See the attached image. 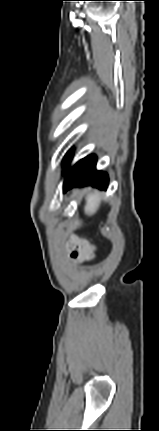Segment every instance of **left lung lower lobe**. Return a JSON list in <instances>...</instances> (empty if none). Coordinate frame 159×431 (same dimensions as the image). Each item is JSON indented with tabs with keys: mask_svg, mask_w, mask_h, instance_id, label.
Masks as SVG:
<instances>
[{
	"mask_svg": "<svg viewBox=\"0 0 159 431\" xmlns=\"http://www.w3.org/2000/svg\"><path fill=\"white\" fill-rule=\"evenodd\" d=\"M72 150H70L64 159V170L68 168L71 160ZM97 158L95 155H89L78 161L70 168L65 176L63 191L84 184L92 185L99 189H106L108 186V176L106 173L95 169Z\"/></svg>",
	"mask_w": 159,
	"mask_h": 431,
	"instance_id": "obj_1",
	"label": "left lung lower lobe"
}]
</instances>
